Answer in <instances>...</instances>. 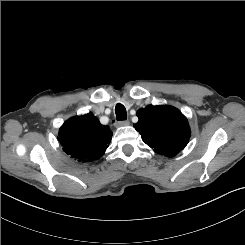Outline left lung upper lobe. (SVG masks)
Returning <instances> with one entry per match:
<instances>
[{"instance_id": "obj_1", "label": "left lung upper lobe", "mask_w": 245, "mask_h": 245, "mask_svg": "<svg viewBox=\"0 0 245 245\" xmlns=\"http://www.w3.org/2000/svg\"><path fill=\"white\" fill-rule=\"evenodd\" d=\"M135 128L142 140L158 154L174 157L185 148L190 138L187 118L177 108L148 105L137 111Z\"/></svg>"}]
</instances>
